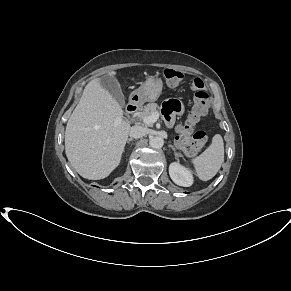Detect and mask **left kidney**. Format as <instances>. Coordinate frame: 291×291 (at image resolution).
<instances>
[{
    "mask_svg": "<svg viewBox=\"0 0 291 291\" xmlns=\"http://www.w3.org/2000/svg\"><path fill=\"white\" fill-rule=\"evenodd\" d=\"M169 174L173 182L179 186L189 187L193 184L191 170L182 166L178 162H173L170 164Z\"/></svg>",
    "mask_w": 291,
    "mask_h": 291,
    "instance_id": "1",
    "label": "left kidney"
}]
</instances>
